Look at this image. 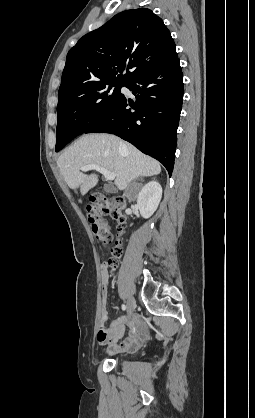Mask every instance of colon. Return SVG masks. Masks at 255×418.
Returning <instances> with one entry per match:
<instances>
[{
    "label": "colon",
    "mask_w": 255,
    "mask_h": 418,
    "mask_svg": "<svg viewBox=\"0 0 255 418\" xmlns=\"http://www.w3.org/2000/svg\"><path fill=\"white\" fill-rule=\"evenodd\" d=\"M91 201L92 205L88 207V216L93 234L101 245L110 251L111 257L108 260V264L111 268H115L123 251L117 242L112 245V229L104 217L112 214L120 222H123L122 210L126 204L125 200L121 197L108 200L101 196H95Z\"/></svg>",
    "instance_id": "colon-1"
}]
</instances>
